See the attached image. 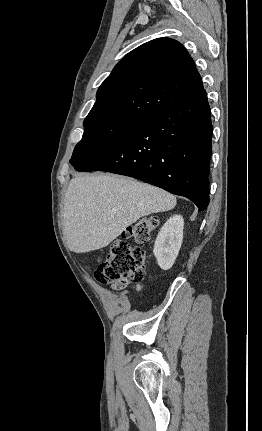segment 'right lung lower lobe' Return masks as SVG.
<instances>
[{
	"instance_id": "98d812e1",
	"label": "right lung lower lobe",
	"mask_w": 262,
	"mask_h": 431,
	"mask_svg": "<svg viewBox=\"0 0 262 431\" xmlns=\"http://www.w3.org/2000/svg\"><path fill=\"white\" fill-rule=\"evenodd\" d=\"M211 112L206 91L138 122L84 169L130 176L192 200L209 203Z\"/></svg>"
}]
</instances>
